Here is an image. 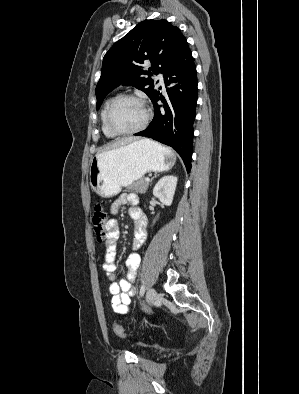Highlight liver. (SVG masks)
<instances>
[{
	"instance_id": "liver-1",
	"label": "liver",
	"mask_w": 299,
	"mask_h": 394,
	"mask_svg": "<svg viewBox=\"0 0 299 394\" xmlns=\"http://www.w3.org/2000/svg\"><path fill=\"white\" fill-rule=\"evenodd\" d=\"M136 140H137V138L129 137V138H126V139H123L121 141H117V142L111 144L107 149H112V148H116L119 146H123V145L129 144V143L136 141Z\"/></svg>"
}]
</instances>
